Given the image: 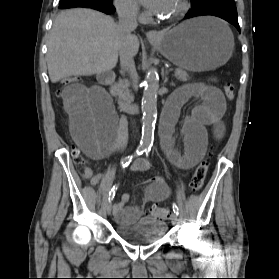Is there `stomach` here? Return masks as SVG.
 <instances>
[{"mask_svg": "<svg viewBox=\"0 0 279 279\" xmlns=\"http://www.w3.org/2000/svg\"><path fill=\"white\" fill-rule=\"evenodd\" d=\"M155 44L173 64L193 72L224 65L234 49L230 29L211 17L192 19L188 24L164 31Z\"/></svg>", "mask_w": 279, "mask_h": 279, "instance_id": "1", "label": "stomach"}]
</instances>
